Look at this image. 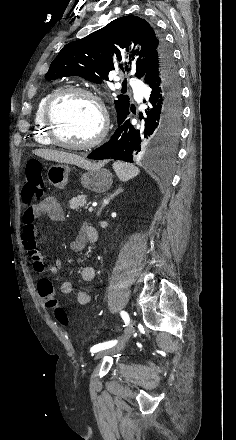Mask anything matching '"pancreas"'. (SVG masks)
<instances>
[{
  "instance_id": "pancreas-1",
  "label": "pancreas",
  "mask_w": 236,
  "mask_h": 440,
  "mask_svg": "<svg viewBox=\"0 0 236 440\" xmlns=\"http://www.w3.org/2000/svg\"><path fill=\"white\" fill-rule=\"evenodd\" d=\"M70 208L73 210H79L82 207L87 206V196L86 195H79L77 197H73L69 201Z\"/></svg>"
}]
</instances>
